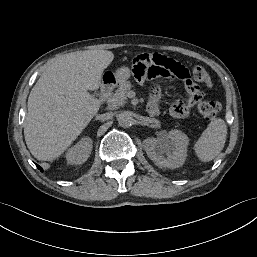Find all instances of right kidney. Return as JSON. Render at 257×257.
Returning a JSON list of instances; mask_svg holds the SVG:
<instances>
[{"instance_id": "obj_1", "label": "right kidney", "mask_w": 257, "mask_h": 257, "mask_svg": "<svg viewBox=\"0 0 257 257\" xmlns=\"http://www.w3.org/2000/svg\"><path fill=\"white\" fill-rule=\"evenodd\" d=\"M92 147V140L89 137L82 138L73 147L68 149L66 153V160L68 164L79 165L84 163L90 156Z\"/></svg>"}]
</instances>
